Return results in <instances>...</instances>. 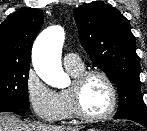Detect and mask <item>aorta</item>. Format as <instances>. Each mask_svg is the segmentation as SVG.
I'll return each instance as SVG.
<instances>
[{
  "mask_svg": "<svg viewBox=\"0 0 147 131\" xmlns=\"http://www.w3.org/2000/svg\"><path fill=\"white\" fill-rule=\"evenodd\" d=\"M64 31L60 26L44 30L36 39L32 50V63L38 76L54 88H65L70 79L61 64Z\"/></svg>",
  "mask_w": 147,
  "mask_h": 131,
  "instance_id": "aorta-1",
  "label": "aorta"
}]
</instances>
